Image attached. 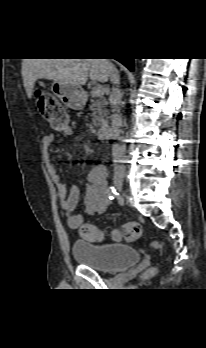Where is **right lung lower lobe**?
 I'll return each instance as SVG.
<instances>
[{"instance_id": "obj_1", "label": "right lung lower lobe", "mask_w": 206, "mask_h": 348, "mask_svg": "<svg viewBox=\"0 0 206 348\" xmlns=\"http://www.w3.org/2000/svg\"><path fill=\"white\" fill-rule=\"evenodd\" d=\"M124 64L130 71L134 70V60L132 58L116 59Z\"/></svg>"}]
</instances>
